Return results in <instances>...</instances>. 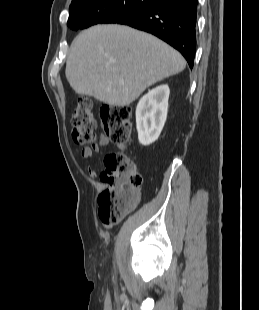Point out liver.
<instances>
[{"mask_svg": "<svg viewBox=\"0 0 259 310\" xmlns=\"http://www.w3.org/2000/svg\"><path fill=\"white\" fill-rule=\"evenodd\" d=\"M185 66L182 55L157 37L111 24L91 27L74 39L65 74L77 94L122 107Z\"/></svg>", "mask_w": 259, "mask_h": 310, "instance_id": "obj_1", "label": "liver"}]
</instances>
